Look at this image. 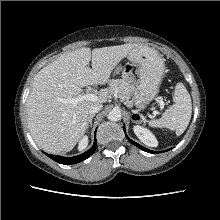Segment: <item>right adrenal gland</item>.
I'll use <instances>...</instances> for the list:
<instances>
[{
  "instance_id": "1",
  "label": "right adrenal gland",
  "mask_w": 220,
  "mask_h": 220,
  "mask_svg": "<svg viewBox=\"0 0 220 220\" xmlns=\"http://www.w3.org/2000/svg\"><path fill=\"white\" fill-rule=\"evenodd\" d=\"M94 116H95V115H92V116L90 117L88 128L92 126V119L94 118Z\"/></svg>"
}]
</instances>
